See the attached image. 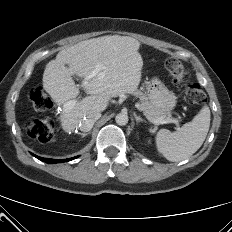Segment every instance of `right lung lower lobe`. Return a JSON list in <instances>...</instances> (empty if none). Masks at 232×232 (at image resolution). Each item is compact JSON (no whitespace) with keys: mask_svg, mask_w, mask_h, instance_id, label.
Wrapping results in <instances>:
<instances>
[{"mask_svg":"<svg viewBox=\"0 0 232 232\" xmlns=\"http://www.w3.org/2000/svg\"><path fill=\"white\" fill-rule=\"evenodd\" d=\"M32 155L35 156L36 158H38L39 160L44 161L46 163H62V162H67V161L73 160V159L78 157V156H76V157L69 158V159L56 160V159L42 158V157L36 156L34 154H32Z\"/></svg>","mask_w":232,"mask_h":232,"instance_id":"obj_1","label":"right lung lower lobe"}]
</instances>
